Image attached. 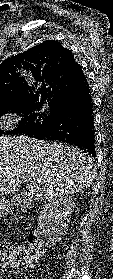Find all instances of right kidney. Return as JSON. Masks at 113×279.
Wrapping results in <instances>:
<instances>
[{"label": "right kidney", "mask_w": 113, "mask_h": 279, "mask_svg": "<svg viewBox=\"0 0 113 279\" xmlns=\"http://www.w3.org/2000/svg\"><path fill=\"white\" fill-rule=\"evenodd\" d=\"M74 208L75 202L72 197H69V199L47 203L40 210L37 220L40 230L47 239V246H53L61 240Z\"/></svg>", "instance_id": "1"}]
</instances>
